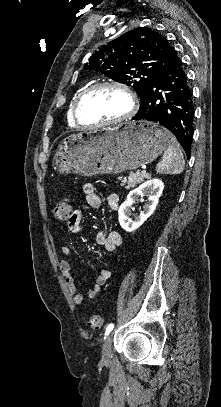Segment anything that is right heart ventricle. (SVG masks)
<instances>
[{
	"instance_id": "1",
	"label": "right heart ventricle",
	"mask_w": 221,
	"mask_h": 407,
	"mask_svg": "<svg viewBox=\"0 0 221 407\" xmlns=\"http://www.w3.org/2000/svg\"><path fill=\"white\" fill-rule=\"evenodd\" d=\"M86 89H87L86 87L80 88L79 90H77L74 93V95L71 98V101H70V103L68 105V108H67V119H68L69 125H74V121H73V118H72L73 107H74V104H75L77 98L79 97V95Z\"/></svg>"
}]
</instances>
